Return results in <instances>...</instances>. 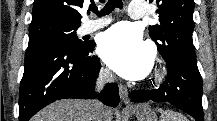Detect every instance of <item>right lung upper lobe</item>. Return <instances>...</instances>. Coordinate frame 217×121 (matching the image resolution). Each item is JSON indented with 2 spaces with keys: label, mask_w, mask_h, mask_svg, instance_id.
<instances>
[{
  "label": "right lung upper lobe",
  "mask_w": 217,
  "mask_h": 121,
  "mask_svg": "<svg viewBox=\"0 0 217 121\" xmlns=\"http://www.w3.org/2000/svg\"><path fill=\"white\" fill-rule=\"evenodd\" d=\"M84 0H34L32 22L56 19L81 24L80 8Z\"/></svg>",
  "instance_id": "cb5924a9"
}]
</instances>
